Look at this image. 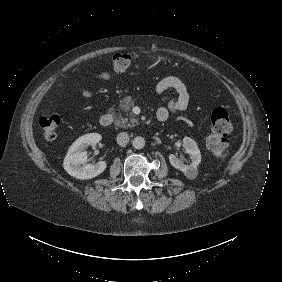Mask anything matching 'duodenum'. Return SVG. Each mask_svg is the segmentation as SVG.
Returning a JSON list of instances; mask_svg holds the SVG:
<instances>
[{"label":"duodenum","mask_w":282,"mask_h":282,"mask_svg":"<svg viewBox=\"0 0 282 282\" xmlns=\"http://www.w3.org/2000/svg\"><path fill=\"white\" fill-rule=\"evenodd\" d=\"M114 116L112 113H106L100 118V125L102 127H109L113 122Z\"/></svg>","instance_id":"1"}]
</instances>
